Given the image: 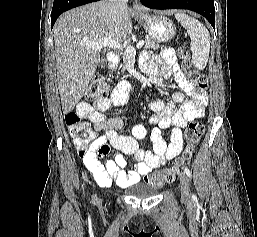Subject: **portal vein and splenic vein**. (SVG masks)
I'll use <instances>...</instances> for the list:
<instances>
[{
  "mask_svg": "<svg viewBox=\"0 0 257 237\" xmlns=\"http://www.w3.org/2000/svg\"><path fill=\"white\" fill-rule=\"evenodd\" d=\"M84 44L93 50H101L102 48L118 50V49L123 48V45L121 43L115 42V41L107 39V38L100 39V40L93 41V42L86 41V42H84ZM143 45H144V41L143 40L139 41L136 45V49H140ZM136 49L131 45H127L126 53L130 56H135Z\"/></svg>",
  "mask_w": 257,
  "mask_h": 237,
  "instance_id": "obj_1",
  "label": "portal vein and splenic vein"
}]
</instances>
